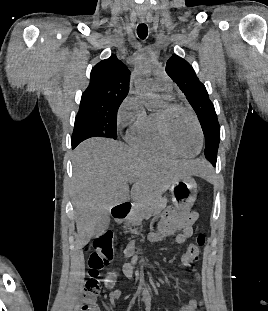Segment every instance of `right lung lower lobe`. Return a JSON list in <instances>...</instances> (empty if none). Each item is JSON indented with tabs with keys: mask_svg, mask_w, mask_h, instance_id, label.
Returning a JSON list of instances; mask_svg holds the SVG:
<instances>
[{
	"mask_svg": "<svg viewBox=\"0 0 268 311\" xmlns=\"http://www.w3.org/2000/svg\"><path fill=\"white\" fill-rule=\"evenodd\" d=\"M80 142H82V140H76V141L71 140L72 148H75Z\"/></svg>",
	"mask_w": 268,
	"mask_h": 311,
	"instance_id": "98d812e1",
	"label": "right lung lower lobe"
}]
</instances>
